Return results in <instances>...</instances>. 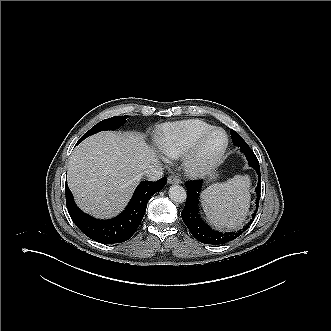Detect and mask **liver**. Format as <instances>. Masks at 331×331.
<instances>
[{
    "label": "liver",
    "instance_id": "obj_1",
    "mask_svg": "<svg viewBox=\"0 0 331 331\" xmlns=\"http://www.w3.org/2000/svg\"><path fill=\"white\" fill-rule=\"evenodd\" d=\"M158 165L156 151L133 132H100L73 151L68 185L78 206L97 218L120 213L141 175Z\"/></svg>",
    "mask_w": 331,
    "mask_h": 331
}]
</instances>
